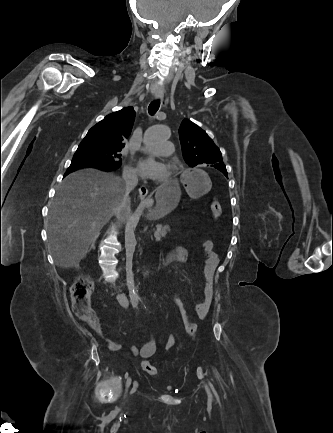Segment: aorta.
Listing matches in <instances>:
<instances>
[{
    "instance_id": "obj_1",
    "label": "aorta",
    "mask_w": 333,
    "mask_h": 433,
    "mask_svg": "<svg viewBox=\"0 0 333 433\" xmlns=\"http://www.w3.org/2000/svg\"><path fill=\"white\" fill-rule=\"evenodd\" d=\"M170 131L168 128L163 126H152L148 128L145 132V141L147 144L153 143H163L170 139ZM150 160H152L150 158ZM137 221L135 214H130L125 226V249H126V257L132 258L135 247H136V238H135V229H136Z\"/></svg>"
}]
</instances>
